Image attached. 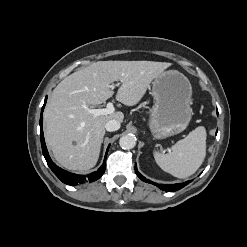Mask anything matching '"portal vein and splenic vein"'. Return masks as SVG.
Instances as JSON below:
<instances>
[{"label": "portal vein and splenic vein", "mask_w": 247, "mask_h": 247, "mask_svg": "<svg viewBox=\"0 0 247 247\" xmlns=\"http://www.w3.org/2000/svg\"><path fill=\"white\" fill-rule=\"evenodd\" d=\"M116 86H119V83L116 84ZM114 87L115 85H111V88H114ZM82 108L87 110L90 114L94 115L95 117L100 116V115H109L115 111L113 103L111 102L107 103L106 108H103V109H91L86 104L82 105Z\"/></svg>", "instance_id": "1"}]
</instances>
